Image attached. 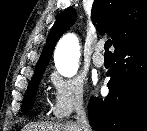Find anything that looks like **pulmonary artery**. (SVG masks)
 Returning a JSON list of instances; mask_svg holds the SVG:
<instances>
[{
  "mask_svg": "<svg viewBox=\"0 0 147 131\" xmlns=\"http://www.w3.org/2000/svg\"><path fill=\"white\" fill-rule=\"evenodd\" d=\"M104 48V43L103 42H99L96 44L95 46V52L93 54L92 60L93 63L96 67H102L105 63V59L103 54L101 53V51Z\"/></svg>",
  "mask_w": 147,
  "mask_h": 131,
  "instance_id": "pulmonary-artery-1",
  "label": "pulmonary artery"
}]
</instances>
